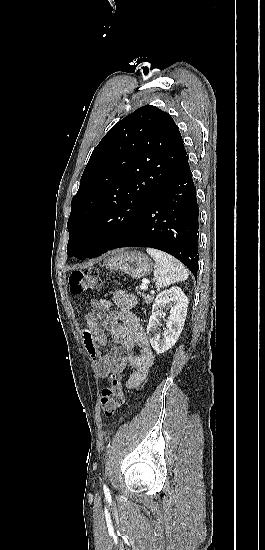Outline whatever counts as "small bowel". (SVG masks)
<instances>
[{
    "label": "small bowel",
    "mask_w": 265,
    "mask_h": 550,
    "mask_svg": "<svg viewBox=\"0 0 265 550\" xmlns=\"http://www.w3.org/2000/svg\"><path fill=\"white\" fill-rule=\"evenodd\" d=\"M113 303L120 309L115 316L106 313L107 303H92V309L85 315L84 344L94 372L100 378L109 374H120L129 365L133 371L125 386L133 389L146 378L154 362V355L145 329L131 311L136 304L134 296L118 291L113 295ZM102 327L109 331L115 344L105 354H101L98 349L108 344V336ZM135 346L139 347L138 353H133Z\"/></svg>",
    "instance_id": "c3829d8e"
}]
</instances>
